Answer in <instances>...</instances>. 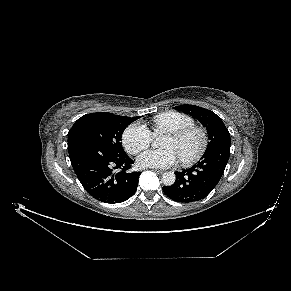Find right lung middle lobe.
Listing matches in <instances>:
<instances>
[{"label":"right lung middle lobe","mask_w":291,"mask_h":291,"mask_svg":"<svg viewBox=\"0 0 291 291\" xmlns=\"http://www.w3.org/2000/svg\"><path fill=\"white\" fill-rule=\"evenodd\" d=\"M140 117L131 118L108 112L86 114L74 123L68 133V141L78 137H87L119 153H124L120 142L122 134L130 123Z\"/></svg>","instance_id":"1"}]
</instances>
